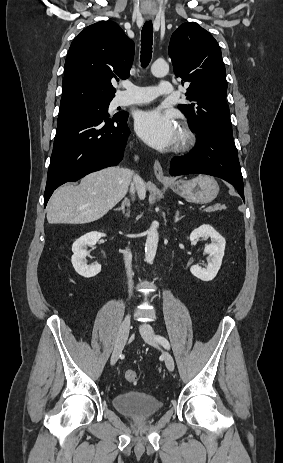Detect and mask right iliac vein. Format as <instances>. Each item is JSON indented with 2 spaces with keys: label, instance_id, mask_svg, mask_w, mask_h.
<instances>
[{
  "label": "right iliac vein",
  "instance_id": "obj_1",
  "mask_svg": "<svg viewBox=\"0 0 283 463\" xmlns=\"http://www.w3.org/2000/svg\"><path fill=\"white\" fill-rule=\"evenodd\" d=\"M129 330H130V316L127 315L123 319V321H122V323L120 325L118 334H117L114 349H113L111 359H110V364L111 365L116 364V362L118 361L119 356H120V354H121V352H122V350L124 348V345H125V343L127 341V338H128V335H129Z\"/></svg>",
  "mask_w": 283,
  "mask_h": 463
}]
</instances>
